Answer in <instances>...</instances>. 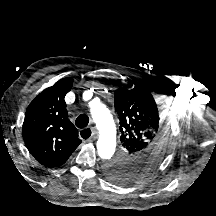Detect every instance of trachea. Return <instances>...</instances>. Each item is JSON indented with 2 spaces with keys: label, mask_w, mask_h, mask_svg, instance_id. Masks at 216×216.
<instances>
[{
  "label": "trachea",
  "mask_w": 216,
  "mask_h": 216,
  "mask_svg": "<svg viewBox=\"0 0 216 216\" xmlns=\"http://www.w3.org/2000/svg\"><path fill=\"white\" fill-rule=\"evenodd\" d=\"M89 123V117L85 114H81L76 118L75 125L78 128H85ZM90 137V133L82 134V138L87 139Z\"/></svg>",
  "instance_id": "obj_1"
}]
</instances>
